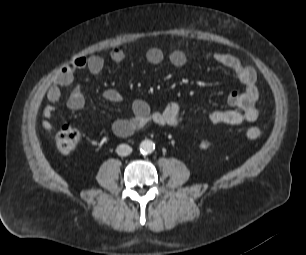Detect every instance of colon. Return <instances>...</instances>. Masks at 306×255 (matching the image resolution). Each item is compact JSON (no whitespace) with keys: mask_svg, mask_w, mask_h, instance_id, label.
I'll list each match as a JSON object with an SVG mask.
<instances>
[{"mask_svg":"<svg viewBox=\"0 0 306 255\" xmlns=\"http://www.w3.org/2000/svg\"><path fill=\"white\" fill-rule=\"evenodd\" d=\"M261 130L258 127H249L246 135L250 139H256L260 136ZM79 132L71 126H63L55 136V143L61 154L67 155L73 152L79 141Z\"/></svg>","mask_w":306,"mask_h":255,"instance_id":"5ec220e1","label":"colon"}]
</instances>
